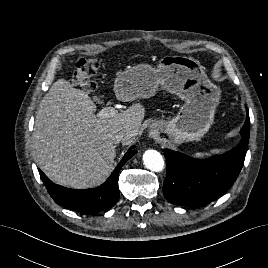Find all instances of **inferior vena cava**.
I'll return each mask as SVG.
<instances>
[{
  "label": "inferior vena cava",
  "instance_id": "1",
  "mask_svg": "<svg viewBox=\"0 0 268 268\" xmlns=\"http://www.w3.org/2000/svg\"><path fill=\"white\" fill-rule=\"evenodd\" d=\"M108 139L112 142V143H119L120 141L124 140L125 138H131L134 136L133 132H129V133H124L121 131H116L113 130L111 132H109L107 134Z\"/></svg>",
  "mask_w": 268,
  "mask_h": 268
}]
</instances>
